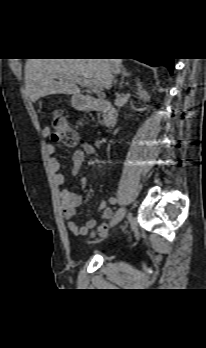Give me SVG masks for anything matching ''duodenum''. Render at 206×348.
<instances>
[{
	"instance_id": "obj_1",
	"label": "duodenum",
	"mask_w": 206,
	"mask_h": 348,
	"mask_svg": "<svg viewBox=\"0 0 206 348\" xmlns=\"http://www.w3.org/2000/svg\"><path fill=\"white\" fill-rule=\"evenodd\" d=\"M78 105L85 110L93 109L101 113L105 126H111L115 121V109L112 104L105 99H95L88 96H79Z\"/></svg>"
}]
</instances>
